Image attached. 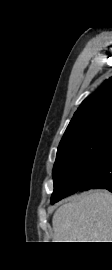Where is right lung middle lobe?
Segmentation results:
<instances>
[{"mask_svg": "<svg viewBox=\"0 0 112 270\" xmlns=\"http://www.w3.org/2000/svg\"><path fill=\"white\" fill-rule=\"evenodd\" d=\"M111 143L112 122L97 125L61 142L53 168L51 203L80 190L83 173L103 156Z\"/></svg>", "mask_w": 112, "mask_h": 270, "instance_id": "obj_1", "label": "right lung middle lobe"}]
</instances>
